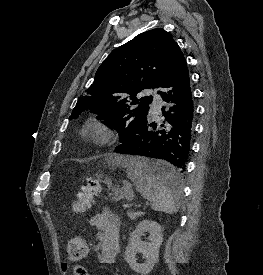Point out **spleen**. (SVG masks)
<instances>
[{
	"label": "spleen",
	"mask_w": 263,
	"mask_h": 275,
	"mask_svg": "<svg viewBox=\"0 0 263 275\" xmlns=\"http://www.w3.org/2000/svg\"><path fill=\"white\" fill-rule=\"evenodd\" d=\"M127 168V175L136 186L138 192L150 200L155 211L168 214L176 213L179 209V196L182 185L177 182L175 186H166L152 174V161L142 157H129L121 163Z\"/></svg>",
	"instance_id": "spleen-1"
}]
</instances>
